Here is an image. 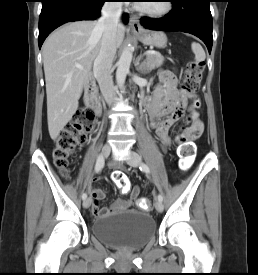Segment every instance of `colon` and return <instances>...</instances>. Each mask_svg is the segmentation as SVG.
Masks as SVG:
<instances>
[{"instance_id":"1","label":"colon","mask_w":258,"mask_h":275,"mask_svg":"<svg viewBox=\"0 0 258 275\" xmlns=\"http://www.w3.org/2000/svg\"><path fill=\"white\" fill-rule=\"evenodd\" d=\"M202 65L197 62L188 64L186 70L181 77V90L188 94L194 106L199 105L197 98V89L202 77ZM195 118V115H192ZM94 127V114L87 109L76 112L69 124H67L57 135L55 139L53 157L54 162L62 171L64 176H68L69 159L77 145L81 144L86 133L90 132ZM195 148L191 141L183 142L179 149L180 166L186 169L192 163ZM112 180L116 187L124 192L130 191V182L124 172L116 171L112 174ZM138 206L142 210H146L150 206L148 198H141Z\"/></svg>"}]
</instances>
